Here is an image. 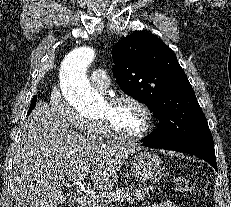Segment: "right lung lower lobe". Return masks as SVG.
I'll return each instance as SVG.
<instances>
[{
  "label": "right lung lower lobe",
  "instance_id": "1",
  "mask_svg": "<svg viewBox=\"0 0 231 207\" xmlns=\"http://www.w3.org/2000/svg\"><path fill=\"white\" fill-rule=\"evenodd\" d=\"M36 100H37V97L34 96V98L32 99V102H31V105H30L28 114H30V112L33 110V108H34V106H35V104H36Z\"/></svg>",
  "mask_w": 231,
  "mask_h": 207
}]
</instances>
